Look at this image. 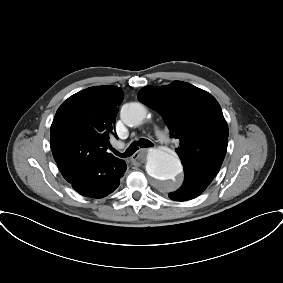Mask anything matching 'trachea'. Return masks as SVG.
<instances>
[{
	"instance_id": "trachea-1",
	"label": "trachea",
	"mask_w": 283,
	"mask_h": 283,
	"mask_svg": "<svg viewBox=\"0 0 283 283\" xmlns=\"http://www.w3.org/2000/svg\"><path fill=\"white\" fill-rule=\"evenodd\" d=\"M138 146H140L141 148L151 147L153 146V143L147 139H140L138 142H133L124 153H120L117 151L114 152L117 156L121 158H126L133 155L137 151Z\"/></svg>"
}]
</instances>
